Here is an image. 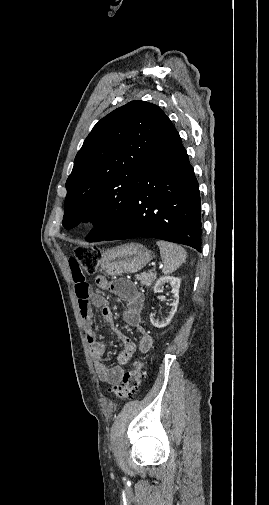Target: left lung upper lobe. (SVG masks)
I'll use <instances>...</instances> for the list:
<instances>
[{
  "mask_svg": "<svg viewBox=\"0 0 269 505\" xmlns=\"http://www.w3.org/2000/svg\"><path fill=\"white\" fill-rule=\"evenodd\" d=\"M166 117L156 105L134 100L102 118L77 153L66 181L63 227L92 221L88 241L110 235L130 212L145 158Z\"/></svg>",
  "mask_w": 269,
  "mask_h": 505,
  "instance_id": "obj_1",
  "label": "left lung upper lobe"
}]
</instances>
